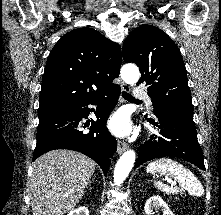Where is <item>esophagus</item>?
<instances>
[{"label":"esophagus","instance_id":"obj_1","mask_svg":"<svg viewBox=\"0 0 221 215\" xmlns=\"http://www.w3.org/2000/svg\"><path fill=\"white\" fill-rule=\"evenodd\" d=\"M121 89L122 91L128 92L129 86L125 84L124 82H121ZM127 149V144L123 141H118V146H117V153L121 154Z\"/></svg>","mask_w":221,"mask_h":215}]
</instances>
